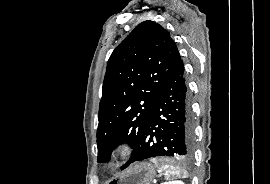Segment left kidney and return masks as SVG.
I'll use <instances>...</instances> for the list:
<instances>
[{
    "mask_svg": "<svg viewBox=\"0 0 270 184\" xmlns=\"http://www.w3.org/2000/svg\"><path fill=\"white\" fill-rule=\"evenodd\" d=\"M166 184H184L182 181H171Z\"/></svg>",
    "mask_w": 270,
    "mask_h": 184,
    "instance_id": "obj_1",
    "label": "left kidney"
}]
</instances>
